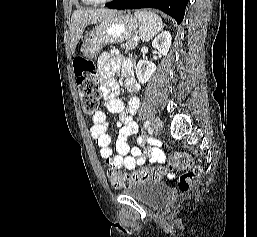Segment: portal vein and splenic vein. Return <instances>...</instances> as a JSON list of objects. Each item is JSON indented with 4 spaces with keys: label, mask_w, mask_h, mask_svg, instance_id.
Listing matches in <instances>:
<instances>
[{
    "label": "portal vein and splenic vein",
    "mask_w": 257,
    "mask_h": 237,
    "mask_svg": "<svg viewBox=\"0 0 257 237\" xmlns=\"http://www.w3.org/2000/svg\"><path fill=\"white\" fill-rule=\"evenodd\" d=\"M135 41H139V38L138 37H134L133 38Z\"/></svg>",
    "instance_id": "1"
}]
</instances>
